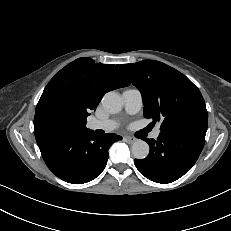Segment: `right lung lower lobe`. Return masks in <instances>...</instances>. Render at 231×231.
<instances>
[{
    "label": "right lung lower lobe",
    "instance_id": "right-lung-lower-lobe-1",
    "mask_svg": "<svg viewBox=\"0 0 231 231\" xmlns=\"http://www.w3.org/2000/svg\"><path fill=\"white\" fill-rule=\"evenodd\" d=\"M121 136L96 135L92 130L78 135H63L38 144L48 168L60 179L82 184L95 179L104 170L109 147Z\"/></svg>",
    "mask_w": 231,
    "mask_h": 231
}]
</instances>
